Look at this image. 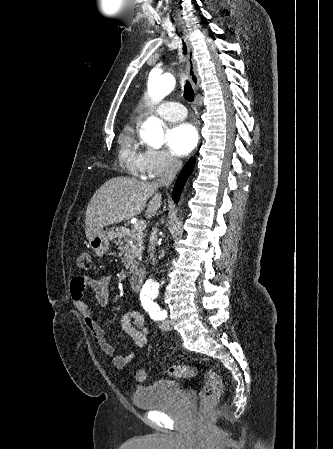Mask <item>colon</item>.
<instances>
[{"mask_svg": "<svg viewBox=\"0 0 333 449\" xmlns=\"http://www.w3.org/2000/svg\"><path fill=\"white\" fill-rule=\"evenodd\" d=\"M78 265L82 269L91 267V253L83 251L78 258ZM170 375L178 378H192L202 374L205 379V386L201 392L200 405L202 408L211 407L219 399L222 392V383L219 376L211 370H203L194 366L173 365L168 369ZM135 378L138 381L146 379V372L143 369L137 370Z\"/></svg>", "mask_w": 333, "mask_h": 449, "instance_id": "1", "label": "colon"}]
</instances>
